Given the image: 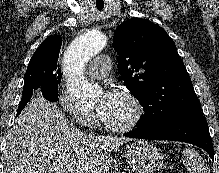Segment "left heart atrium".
Instances as JSON below:
<instances>
[{"label": "left heart atrium", "instance_id": "39dd6f15", "mask_svg": "<svg viewBox=\"0 0 219 173\" xmlns=\"http://www.w3.org/2000/svg\"><path fill=\"white\" fill-rule=\"evenodd\" d=\"M115 92L107 91L103 94L101 101L98 106V113L102 117L107 110L108 106L114 98Z\"/></svg>", "mask_w": 219, "mask_h": 173}]
</instances>
